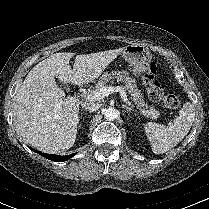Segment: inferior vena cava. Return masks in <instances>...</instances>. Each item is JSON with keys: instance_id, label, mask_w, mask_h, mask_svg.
<instances>
[{"instance_id": "602c4592", "label": "inferior vena cava", "mask_w": 209, "mask_h": 209, "mask_svg": "<svg viewBox=\"0 0 209 209\" xmlns=\"http://www.w3.org/2000/svg\"><path fill=\"white\" fill-rule=\"evenodd\" d=\"M82 107L86 110H89L91 112L97 111L101 105L99 103H94V102H84L82 103Z\"/></svg>"}]
</instances>
